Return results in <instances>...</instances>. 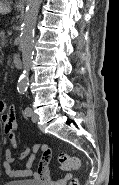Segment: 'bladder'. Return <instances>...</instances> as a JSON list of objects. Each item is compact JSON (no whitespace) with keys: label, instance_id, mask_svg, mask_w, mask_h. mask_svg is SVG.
I'll return each instance as SVG.
<instances>
[{"label":"bladder","instance_id":"31cf9c89","mask_svg":"<svg viewBox=\"0 0 119 185\" xmlns=\"http://www.w3.org/2000/svg\"><path fill=\"white\" fill-rule=\"evenodd\" d=\"M4 185H44L36 180L32 179H24V180H15V181H9L5 183Z\"/></svg>","mask_w":119,"mask_h":185}]
</instances>
